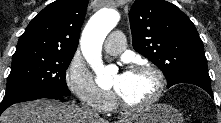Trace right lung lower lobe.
I'll list each match as a JSON object with an SVG mask.
<instances>
[{
  "instance_id": "obj_1",
  "label": "right lung lower lobe",
  "mask_w": 221,
  "mask_h": 123,
  "mask_svg": "<svg viewBox=\"0 0 221 123\" xmlns=\"http://www.w3.org/2000/svg\"><path fill=\"white\" fill-rule=\"evenodd\" d=\"M67 96H64L63 94L59 93V92H56V91H53V92H49V93H46L40 97H38L37 99L39 98H51V99H65ZM14 104V103H13ZM12 104H9V105H6V106H1L0 108V114L6 109L8 108L9 106H11Z\"/></svg>"
}]
</instances>
